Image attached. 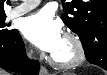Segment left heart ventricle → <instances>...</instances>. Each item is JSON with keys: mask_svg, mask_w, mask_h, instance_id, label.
Instances as JSON below:
<instances>
[{"mask_svg": "<svg viewBox=\"0 0 107 75\" xmlns=\"http://www.w3.org/2000/svg\"><path fill=\"white\" fill-rule=\"evenodd\" d=\"M53 55L59 60L70 59L73 55V51H72V47L69 41L63 38V41L60 47L57 49L55 53H53Z\"/></svg>", "mask_w": 107, "mask_h": 75, "instance_id": "obj_1", "label": "left heart ventricle"}]
</instances>
